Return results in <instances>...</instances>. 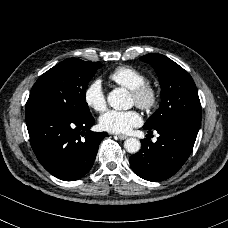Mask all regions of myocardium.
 Here are the masks:
<instances>
[{
	"label": "myocardium",
	"mask_w": 228,
	"mask_h": 228,
	"mask_svg": "<svg viewBox=\"0 0 228 228\" xmlns=\"http://www.w3.org/2000/svg\"><path fill=\"white\" fill-rule=\"evenodd\" d=\"M132 96L139 108L150 110L157 105L159 92L154 84L145 82L132 90Z\"/></svg>",
	"instance_id": "f54148a6"
}]
</instances>
